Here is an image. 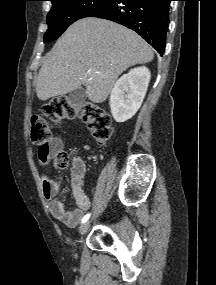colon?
Instances as JSON below:
<instances>
[{
	"mask_svg": "<svg viewBox=\"0 0 216 285\" xmlns=\"http://www.w3.org/2000/svg\"><path fill=\"white\" fill-rule=\"evenodd\" d=\"M44 115L54 123L65 119L79 117L86 124L93 138L99 144H105L113 134L110 116L98 105L86 102L81 106H74L67 98L60 97L49 101L43 108ZM30 137L40 149H46L51 141V130L46 120L40 115L31 118ZM69 164L68 155L58 154L56 165L65 168Z\"/></svg>",
	"mask_w": 216,
	"mask_h": 285,
	"instance_id": "1",
	"label": "colon"
}]
</instances>
